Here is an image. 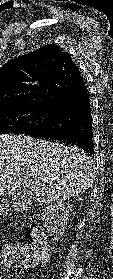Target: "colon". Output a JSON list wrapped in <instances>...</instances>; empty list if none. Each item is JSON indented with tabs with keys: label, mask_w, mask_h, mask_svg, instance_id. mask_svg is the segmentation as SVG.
<instances>
[{
	"label": "colon",
	"mask_w": 113,
	"mask_h": 279,
	"mask_svg": "<svg viewBox=\"0 0 113 279\" xmlns=\"http://www.w3.org/2000/svg\"><path fill=\"white\" fill-rule=\"evenodd\" d=\"M48 250L47 240L42 236V231L34 227L30 233V240L23 251L9 249L0 244V264L1 267L6 264L17 265L20 262H26L32 258L43 257Z\"/></svg>",
	"instance_id": "1"
}]
</instances>
